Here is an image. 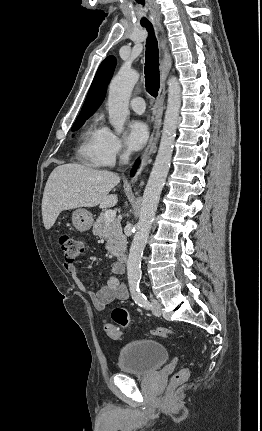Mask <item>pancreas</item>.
I'll use <instances>...</instances> for the list:
<instances>
[{"instance_id":"obj_1","label":"pancreas","mask_w":262,"mask_h":431,"mask_svg":"<svg viewBox=\"0 0 262 431\" xmlns=\"http://www.w3.org/2000/svg\"><path fill=\"white\" fill-rule=\"evenodd\" d=\"M93 234L100 238H107L106 249L114 255L126 249V237L117 219L106 223L102 213L93 225Z\"/></svg>"}]
</instances>
